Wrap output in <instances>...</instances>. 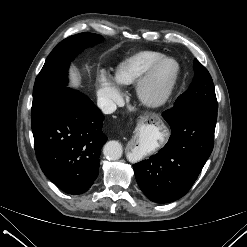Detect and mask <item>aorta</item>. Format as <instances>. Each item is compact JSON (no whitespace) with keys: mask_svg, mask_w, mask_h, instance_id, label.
<instances>
[{"mask_svg":"<svg viewBox=\"0 0 247 247\" xmlns=\"http://www.w3.org/2000/svg\"><path fill=\"white\" fill-rule=\"evenodd\" d=\"M103 154L109 160H118L123 154L122 145L118 141H109L104 145Z\"/></svg>","mask_w":247,"mask_h":247,"instance_id":"obj_1","label":"aorta"}]
</instances>
